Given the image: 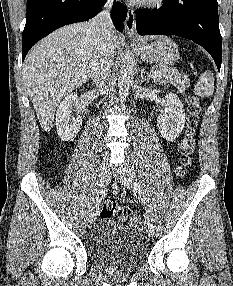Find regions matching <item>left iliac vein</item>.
Returning <instances> with one entry per match:
<instances>
[{
    "instance_id": "left-iliac-vein-1",
    "label": "left iliac vein",
    "mask_w": 233,
    "mask_h": 286,
    "mask_svg": "<svg viewBox=\"0 0 233 286\" xmlns=\"http://www.w3.org/2000/svg\"><path fill=\"white\" fill-rule=\"evenodd\" d=\"M114 176L117 179V181L121 183L125 188L131 189L133 187V178H132V173L130 169L123 168V169L117 170ZM145 228L149 236L154 235V225L152 223L151 218L148 215L145 216Z\"/></svg>"
}]
</instances>
